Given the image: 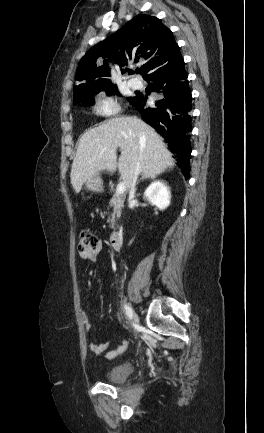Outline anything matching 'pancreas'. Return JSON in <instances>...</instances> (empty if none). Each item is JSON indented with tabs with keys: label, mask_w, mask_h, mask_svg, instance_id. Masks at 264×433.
<instances>
[{
	"label": "pancreas",
	"mask_w": 264,
	"mask_h": 433,
	"mask_svg": "<svg viewBox=\"0 0 264 433\" xmlns=\"http://www.w3.org/2000/svg\"><path fill=\"white\" fill-rule=\"evenodd\" d=\"M125 196L115 192L110 200V207L112 208V214L110 219V227L114 228L115 218L121 216V210L124 207Z\"/></svg>",
	"instance_id": "obj_1"
}]
</instances>
